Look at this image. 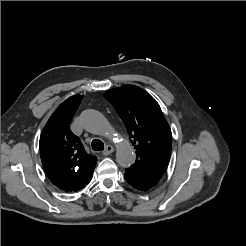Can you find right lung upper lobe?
<instances>
[{
  "mask_svg": "<svg viewBox=\"0 0 246 246\" xmlns=\"http://www.w3.org/2000/svg\"><path fill=\"white\" fill-rule=\"evenodd\" d=\"M83 96L65 100L51 115L40 136L43 168L53 185L65 192L85 187L93 176L96 157L84 150L69 126Z\"/></svg>",
  "mask_w": 246,
  "mask_h": 246,
  "instance_id": "cb5924a9",
  "label": "right lung upper lobe"
}]
</instances>
